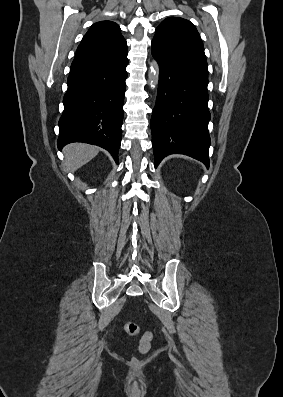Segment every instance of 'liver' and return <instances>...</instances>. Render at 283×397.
Segmentation results:
<instances>
[{
  "instance_id": "1",
  "label": "liver",
  "mask_w": 283,
  "mask_h": 397,
  "mask_svg": "<svg viewBox=\"0 0 283 397\" xmlns=\"http://www.w3.org/2000/svg\"><path fill=\"white\" fill-rule=\"evenodd\" d=\"M63 152L66 171L75 172L92 160L98 154L99 148L90 144L72 143L65 146Z\"/></svg>"
}]
</instances>
